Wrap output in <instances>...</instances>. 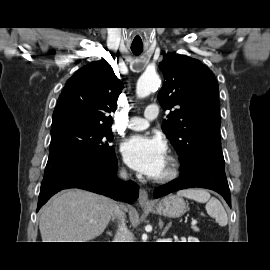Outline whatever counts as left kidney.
<instances>
[{"label":"left kidney","mask_w":270,"mask_h":270,"mask_svg":"<svg viewBox=\"0 0 270 270\" xmlns=\"http://www.w3.org/2000/svg\"><path fill=\"white\" fill-rule=\"evenodd\" d=\"M193 242H199L196 238H190Z\"/></svg>","instance_id":"obj_1"}]
</instances>
